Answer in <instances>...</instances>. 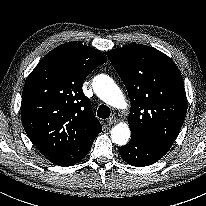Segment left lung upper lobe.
<instances>
[{"label":"left lung upper lobe","mask_w":206,"mask_h":206,"mask_svg":"<svg viewBox=\"0 0 206 206\" xmlns=\"http://www.w3.org/2000/svg\"><path fill=\"white\" fill-rule=\"evenodd\" d=\"M107 55L131 101V137L170 147L186 116L183 78L174 62L157 49L129 44Z\"/></svg>","instance_id":"obj_1"}]
</instances>
